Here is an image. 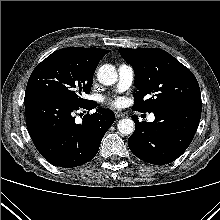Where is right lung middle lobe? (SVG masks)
<instances>
[{"instance_id":"1","label":"right lung middle lobe","mask_w":220,"mask_h":220,"mask_svg":"<svg viewBox=\"0 0 220 220\" xmlns=\"http://www.w3.org/2000/svg\"><path fill=\"white\" fill-rule=\"evenodd\" d=\"M96 66L76 54L60 49L49 55L33 70L25 94H49L75 105L87 102L83 93H90Z\"/></svg>"}]
</instances>
